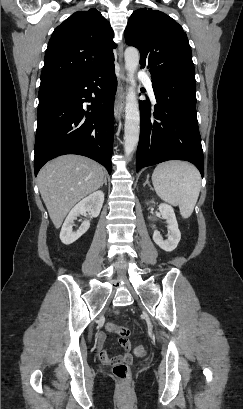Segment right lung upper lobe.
Masks as SVG:
<instances>
[{
    "instance_id": "right-lung-upper-lobe-1",
    "label": "right lung upper lobe",
    "mask_w": 243,
    "mask_h": 409,
    "mask_svg": "<svg viewBox=\"0 0 243 409\" xmlns=\"http://www.w3.org/2000/svg\"><path fill=\"white\" fill-rule=\"evenodd\" d=\"M113 36L110 23L96 9L75 12L52 33L41 80H73L112 63Z\"/></svg>"
}]
</instances>
